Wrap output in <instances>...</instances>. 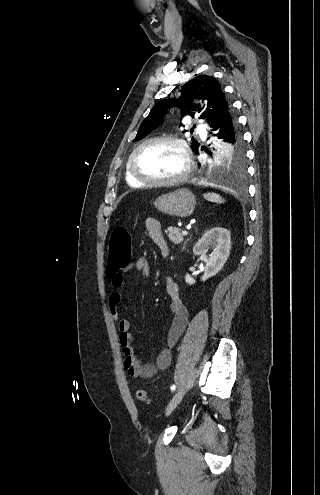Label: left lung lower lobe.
<instances>
[{"mask_svg": "<svg viewBox=\"0 0 320 495\" xmlns=\"http://www.w3.org/2000/svg\"><path fill=\"white\" fill-rule=\"evenodd\" d=\"M210 127L211 134L216 137L217 142L221 143L233 139L237 128V119L231 108L222 113Z\"/></svg>", "mask_w": 320, "mask_h": 495, "instance_id": "1", "label": "left lung lower lobe"}]
</instances>
